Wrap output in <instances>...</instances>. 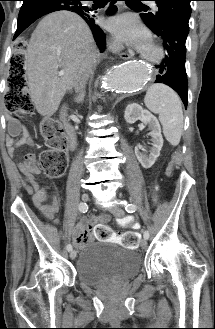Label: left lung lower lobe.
Instances as JSON below:
<instances>
[{
  "mask_svg": "<svg viewBox=\"0 0 215 329\" xmlns=\"http://www.w3.org/2000/svg\"><path fill=\"white\" fill-rule=\"evenodd\" d=\"M154 32L163 42L167 54L157 66L159 74L155 83H164L174 89L181 97L185 108L188 103V85L185 69L187 33L180 28L164 23Z\"/></svg>",
  "mask_w": 215,
  "mask_h": 329,
  "instance_id": "obj_1",
  "label": "left lung lower lobe"
}]
</instances>
